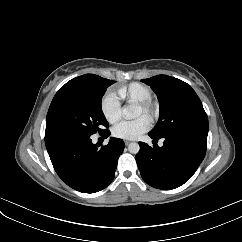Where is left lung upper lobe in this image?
<instances>
[{"label":"left lung upper lobe","mask_w":242,"mask_h":242,"mask_svg":"<svg viewBox=\"0 0 242 242\" xmlns=\"http://www.w3.org/2000/svg\"><path fill=\"white\" fill-rule=\"evenodd\" d=\"M141 81L153 89L160 102L159 120L149 134L163 138L186 131L208 133L207 114L190 85L167 75Z\"/></svg>","instance_id":"left-lung-upper-lobe-1"}]
</instances>
